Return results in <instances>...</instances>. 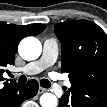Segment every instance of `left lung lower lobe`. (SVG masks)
<instances>
[{"label": "left lung lower lobe", "mask_w": 107, "mask_h": 107, "mask_svg": "<svg viewBox=\"0 0 107 107\" xmlns=\"http://www.w3.org/2000/svg\"><path fill=\"white\" fill-rule=\"evenodd\" d=\"M107 97L95 96L93 91L72 83L64 95L59 99L58 107H106Z\"/></svg>", "instance_id": "1"}]
</instances>
